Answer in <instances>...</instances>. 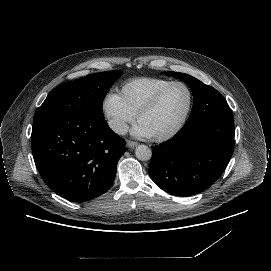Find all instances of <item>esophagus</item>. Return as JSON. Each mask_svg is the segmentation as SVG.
<instances>
[{"instance_id": "esophagus-1", "label": "esophagus", "mask_w": 271, "mask_h": 271, "mask_svg": "<svg viewBox=\"0 0 271 271\" xmlns=\"http://www.w3.org/2000/svg\"><path fill=\"white\" fill-rule=\"evenodd\" d=\"M137 145H138V143L135 142V141H131V140H127V141H126V146H127L128 148H130V149L135 148Z\"/></svg>"}]
</instances>
